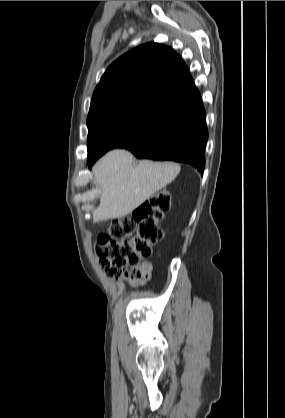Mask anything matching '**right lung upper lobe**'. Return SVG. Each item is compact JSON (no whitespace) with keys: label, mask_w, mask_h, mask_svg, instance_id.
Masks as SVG:
<instances>
[{"label":"right lung upper lobe","mask_w":285,"mask_h":418,"mask_svg":"<svg viewBox=\"0 0 285 418\" xmlns=\"http://www.w3.org/2000/svg\"><path fill=\"white\" fill-rule=\"evenodd\" d=\"M198 94L182 58L172 48L150 42L124 54L107 68L94 91L89 114L133 100L171 109Z\"/></svg>","instance_id":"right-lung-upper-lobe-1"}]
</instances>
